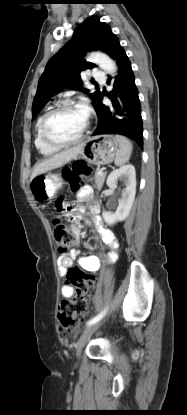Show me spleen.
I'll return each mask as SVG.
<instances>
[{
  "instance_id": "obj_1",
  "label": "spleen",
  "mask_w": 187,
  "mask_h": 415,
  "mask_svg": "<svg viewBox=\"0 0 187 415\" xmlns=\"http://www.w3.org/2000/svg\"><path fill=\"white\" fill-rule=\"evenodd\" d=\"M115 138L118 141L119 150L114 162L116 166H122L129 161L133 145L126 137L116 135Z\"/></svg>"
}]
</instances>
